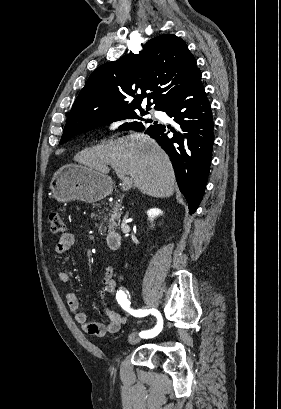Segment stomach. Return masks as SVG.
<instances>
[{
  "instance_id": "obj_1",
  "label": "stomach",
  "mask_w": 281,
  "mask_h": 409,
  "mask_svg": "<svg viewBox=\"0 0 281 409\" xmlns=\"http://www.w3.org/2000/svg\"><path fill=\"white\" fill-rule=\"evenodd\" d=\"M50 188L59 202H97L112 192L113 182L110 176L87 164H64L55 172Z\"/></svg>"
}]
</instances>
